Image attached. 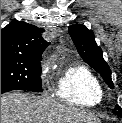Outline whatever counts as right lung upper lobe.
<instances>
[{"instance_id":"cb5924a9","label":"right lung upper lobe","mask_w":122,"mask_h":123,"mask_svg":"<svg viewBox=\"0 0 122 123\" xmlns=\"http://www.w3.org/2000/svg\"><path fill=\"white\" fill-rule=\"evenodd\" d=\"M43 31L23 21L10 22L1 30V56L41 58L49 45L41 37Z\"/></svg>"}]
</instances>
